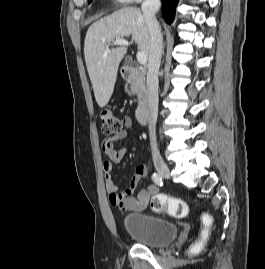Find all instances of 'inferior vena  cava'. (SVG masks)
<instances>
[{
  "instance_id": "602c4592",
  "label": "inferior vena cava",
  "mask_w": 265,
  "mask_h": 269,
  "mask_svg": "<svg viewBox=\"0 0 265 269\" xmlns=\"http://www.w3.org/2000/svg\"><path fill=\"white\" fill-rule=\"evenodd\" d=\"M160 5V0H145L141 5L142 13L150 34V52L147 72L149 105L148 128L152 157L154 160L161 159L156 140V122L158 117V73L163 49V37L159 23L155 17Z\"/></svg>"
}]
</instances>
